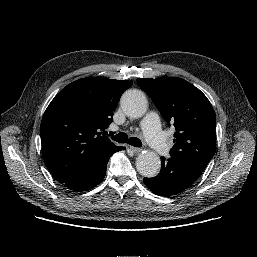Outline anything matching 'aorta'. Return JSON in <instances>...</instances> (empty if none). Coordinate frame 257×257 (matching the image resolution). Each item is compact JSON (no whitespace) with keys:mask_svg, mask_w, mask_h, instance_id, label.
Here are the masks:
<instances>
[{"mask_svg":"<svg viewBox=\"0 0 257 257\" xmlns=\"http://www.w3.org/2000/svg\"><path fill=\"white\" fill-rule=\"evenodd\" d=\"M120 103L123 112L131 118L142 117L148 107V100L146 96L139 90H129L125 92ZM160 167V158L152 151L142 152L137 157V171L144 177H155L158 174Z\"/></svg>","mask_w":257,"mask_h":257,"instance_id":"1","label":"aorta"}]
</instances>
